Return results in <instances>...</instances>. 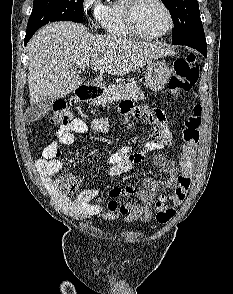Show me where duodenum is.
<instances>
[{
	"instance_id": "obj_1",
	"label": "duodenum",
	"mask_w": 233,
	"mask_h": 294,
	"mask_svg": "<svg viewBox=\"0 0 233 294\" xmlns=\"http://www.w3.org/2000/svg\"><path fill=\"white\" fill-rule=\"evenodd\" d=\"M99 92L97 85H84L75 90V93L70 101L71 105H76L79 102L91 99Z\"/></svg>"
}]
</instances>
